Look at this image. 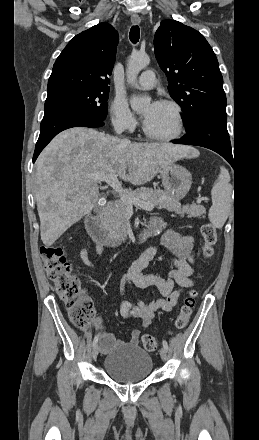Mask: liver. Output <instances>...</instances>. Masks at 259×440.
<instances>
[{
	"label": "liver",
	"mask_w": 259,
	"mask_h": 440,
	"mask_svg": "<svg viewBox=\"0 0 259 440\" xmlns=\"http://www.w3.org/2000/svg\"><path fill=\"white\" fill-rule=\"evenodd\" d=\"M198 152L169 143H131L86 127L59 133L35 163L34 190L43 244L52 246L99 199L96 174H116L133 185Z\"/></svg>",
	"instance_id": "1"
}]
</instances>
